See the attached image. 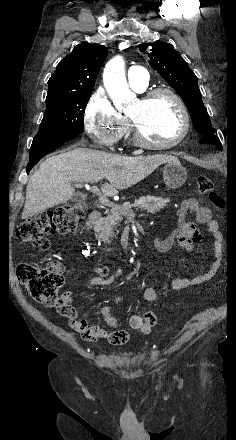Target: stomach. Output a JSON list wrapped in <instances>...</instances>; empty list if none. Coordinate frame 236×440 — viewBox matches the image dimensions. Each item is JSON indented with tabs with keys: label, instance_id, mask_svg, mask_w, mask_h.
<instances>
[{
	"label": "stomach",
	"instance_id": "obj_1",
	"mask_svg": "<svg viewBox=\"0 0 236 440\" xmlns=\"http://www.w3.org/2000/svg\"><path fill=\"white\" fill-rule=\"evenodd\" d=\"M186 178L187 172L177 159L165 163L163 180L167 187L177 189L185 183Z\"/></svg>",
	"mask_w": 236,
	"mask_h": 440
}]
</instances>
